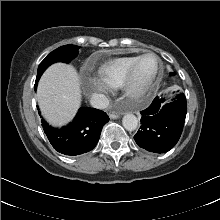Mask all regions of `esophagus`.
I'll list each match as a JSON object with an SVG mask.
<instances>
[{"label":"esophagus","instance_id":"34e87169","mask_svg":"<svg viewBox=\"0 0 220 220\" xmlns=\"http://www.w3.org/2000/svg\"><path fill=\"white\" fill-rule=\"evenodd\" d=\"M108 114H109V117L111 119H117V118L120 117V113H117V112H114V111H110Z\"/></svg>","mask_w":220,"mask_h":220}]
</instances>
